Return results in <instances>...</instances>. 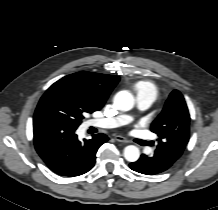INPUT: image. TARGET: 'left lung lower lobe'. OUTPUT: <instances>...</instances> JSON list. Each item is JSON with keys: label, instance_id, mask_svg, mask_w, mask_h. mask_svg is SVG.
<instances>
[{"label": "left lung lower lobe", "instance_id": "1", "mask_svg": "<svg viewBox=\"0 0 218 210\" xmlns=\"http://www.w3.org/2000/svg\"><path fill=\"white\" fill-rule=\"evenodd\" d=\"M176 156H168L163 151L156 148L152 155L142 154L141 157L133 163H130V168L136 172L153 175L166 171L176 161Z\"/></svg>", "mask_w": 218, "mask_h": 210}]
</instances>
